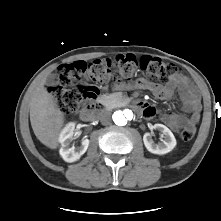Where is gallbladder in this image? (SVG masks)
I'll return each instance as SVG.
<instances>
[{"instance_id":"bac80fb5","label":"gallbladder","mask_w":221,"mask_h":221,"mask_svg":"<svg viewBox=\"0 0 221 221\" xmlns=\"http://www.w3.org/2000/svg\"><path fill=\"white\" fill-rule=\"evenodd\" d=\"M56 79H57V77H56L55 74H50V75L48 76L46 82H47V84H49V85H54V84L56 83Z\"/></svg>"}]
</instances>
